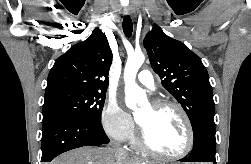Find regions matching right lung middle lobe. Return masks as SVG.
<instances>
[{"label":"right lung middle lobe","mask_w":251,"mask_h":164,"mask_svg":"<svg viewBox=\"0 0 251 164\" xmlns=\"http://www.w3.org/2000/svg\"><path fill=\"white\" fill-rule=\"evenodd\" d=\"M105 97V92L73 88L46 91L43 119L51 116H69L100 122Z\"/></svg>","instance_id":"obj_1"}]
</instances>
